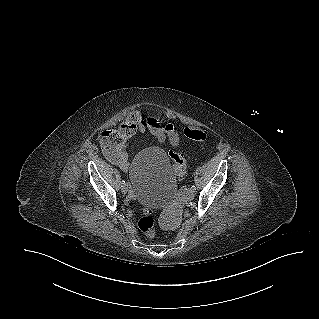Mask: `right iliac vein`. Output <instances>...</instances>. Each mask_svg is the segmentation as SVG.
Returning a JSON list of instances; mask_svg holds the SVG:
<instances>
[{"mask_svg": "<svg viewBox=\"0 0 319 319\" xmlns=\"http://www.w3.org/2000/svg\"><path fill=\"white\" fill-rule=\"evenodd\" d=\"M129 191V186L127 183L122 185V192L127 193Z\"/></svg>", "mask_w": 319, "mask_h": 319, "instance_id": "obj_1", "label": "right iliac vein"}]
</instances>
